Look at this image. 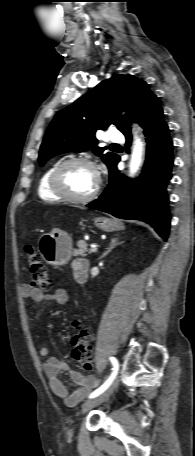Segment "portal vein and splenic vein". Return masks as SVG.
Segmentation results:
<instances>
[{
    "label": "portal vein and splenic vein",
    "mask_w": 195,
    "mask_h": 456,
    "mask_svg": "<svg viewBox=\"0 0 195 456\" xmlns=\"http://www.w3.org/2000/svg\"><path fill=\"white\" fill-rule=\"evenodd\" d=\"M97 250H98L97 247H91L90 248V252H92V253H96Z\"/></svg>",
    "instance_id": "18ae733b"
}]
</instances>
